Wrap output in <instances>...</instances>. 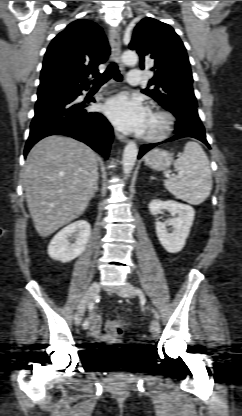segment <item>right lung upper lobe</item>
Instances as JSON below:
<instances>
[{"label": "right lung upper lobe", "mask_w": 242, "mask_h": 416, "mask_svg": "<svg viewBox=\"0 0 242 416\" xmlns=\"http://www.w3.org/2000/svg\"><path fill=\"white\" fill-rule=\"evenodd\" d=\"M110 47L101 27L79 19L50 43L43 61L38 96L89 87L88 76L99 75Z\"/></svg>", "instance_id": "1"}]
</instances>
